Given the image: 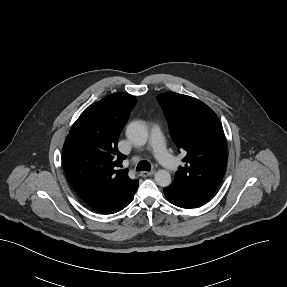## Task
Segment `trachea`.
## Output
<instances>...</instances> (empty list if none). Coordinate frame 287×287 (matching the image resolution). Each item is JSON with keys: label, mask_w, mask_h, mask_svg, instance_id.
<instances>
[{"label": "trachea", "mask_w": 287, "mask_h": 287, "mask_svg": "<svg viewBox=\"0 0 287 287\" xmlns=\"http://www.w3.org/2000/svg\"><path fill=\"white\" fill-rule=\"evenodd\" d=\"M150 170H151V165L147 161H140L137 164L136 171H150Z\"/></svg>", "instance_id": "obj_1"}]
</instances>
